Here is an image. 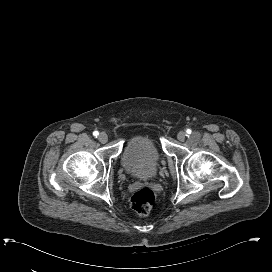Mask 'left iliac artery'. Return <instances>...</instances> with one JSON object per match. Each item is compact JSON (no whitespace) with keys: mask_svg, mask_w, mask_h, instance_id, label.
Returning <instances> with one entry per match:
<instances>
[{"mask_svg":"<svg viewBox=\"0 0 272 272\" xmlns=\"http://www.w3.org/2000/svg\"><path fill=\"white\" fill-rule=\"evenodd\" d=\"M186 132L187 134H191L192 131L190 129H187Z\"/></svg>","mask_w":272,"mask_h":272,"instance_id":"obj_1","label":"left iliac artery"}]
</instances>
